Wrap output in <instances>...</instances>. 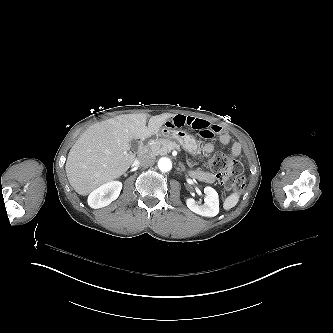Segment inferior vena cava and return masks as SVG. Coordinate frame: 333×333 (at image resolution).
I'll use <instances>...</instances> for the list:
<instances>
[{
    "label": "inferior vena cava",
    "instance_id": "602c4592",
    "mask_svg": "<svg viewBox=\"0 0 333 333\" xmlns=\"http://www.w3.org/2000/svg\"><path fill=\"white\" fill-rule=\"evenodd\" d=\"M154 158L150 157V156H142L137 160V165H141V166H150L154 163Z\"/></svg>",
    "mask_w": 333,
    "mask_h": 333
}]
</instances>
